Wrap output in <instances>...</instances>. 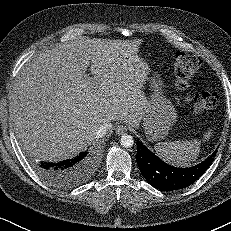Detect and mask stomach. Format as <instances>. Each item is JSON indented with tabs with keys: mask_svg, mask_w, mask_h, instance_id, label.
Instances as JSON below:
<instances>
[{
	"mask_svg": "<svg viewBox=\"0 0 231 231\" xmlns=\"http://www.w3.org/2000/svg\"><path fill=\"white\" fill-rule=\"evenodd\" d=\"M152 94L148 98L147 107L142 116V127L149 141L164 139L177 119L174 105L164 95V81L154 73L150 77Z\"/></svg>",
	"mask_w": 231,
	"mask_h": 231,
	"instance_id": "0dacf381",
	"label": "stomach"
}]
</instances>
